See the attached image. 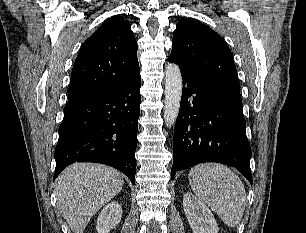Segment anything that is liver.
<instances>
[{
    "label": "liver",
    "mask_w": 306,
    "mask_h": 233,
    "mask_svg": "<svg viewBox=\"0 0 306 233\" xmlns=\"http://www.w3.org/2000/svg\"><path fill=\"white\" fill-rule=\"evenodd\" d=\"M123 175L108 166L75 163L56 183L57 207L73 233H84L92 216L123 187Z\"/></svg>",
    "instance_id": "obj_1"
}]
</instances>
